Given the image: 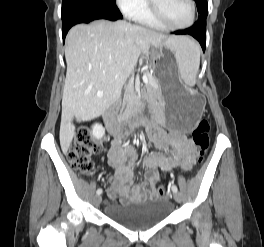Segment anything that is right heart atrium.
Wrapping results in <instances>:
<instances>
[{"mask_svg":"<svg viewBox=\"0 0 264 247\" xmlns=\"http://www.w3.org/2000/svg\"><path fill=\"white\" fill-rule=\"evenodd\" d=\"M115 2L119 9L127 16H132L146 5V0H115Z\"/></svg>","mask_w":264,"mask_h":247,"instance_id":"1","label":"right heart atrium"}]
</instances>
